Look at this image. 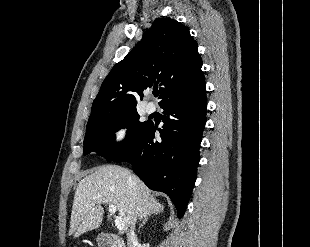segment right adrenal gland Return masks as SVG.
Wrapping results in <instances>:
<instances>
[{
	"mask_svg": "<svg viewBox=\"0 0 310 247\" xmlns=\"http://www.w3.org/2000/svg\"><path fill=\"white\" fill-rule=\"evenodd\" d=\"M150 217V216H149ZM148 217H144V219L142 220V223L139 225V229L141 228V227H143L145 224H146V222L148 221Z\"/></svg>",
	"mask_w": 310,
	"mask_h": 247,
	"instance_id": "obj_1",
	"label": "right adrenal gland"
}]
</instances>
